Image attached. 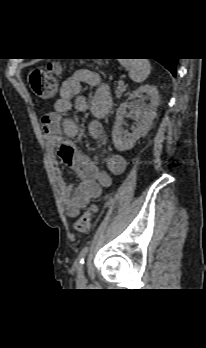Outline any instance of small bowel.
Returning <instances> with one entry per match:
<instances>
[{"label": "small bowel", "mask_w": 206, "mask_h": 348, "mask_svg": "<svg viewBox=\"0 0 206 348\" xmlns=\"http://www.w3.org/2000/svg\"><path fill=\"white\" fill-rule=\"evenodd\" d=\"M83 85L95 87L90 100L81 95ZM112 98L107 86L101 83L100 76L89 70H79L63 82L59 97L54 102L53 111L42 119L43 135L50 152L51 162L60 190L61 198L70 218L78 216L80 210L90 200L98 198L104 188L112 185V175H120L127 162L118 153H110L105 158V169H99L86 156L80 154L69 138L80 131L79 124L64 117L72 110L83 113L90 110L93 120L88 130L90 136L97 141L105 140V129L102 119L109 113ZM69 166L80 178L81 183L75 189L64 180L59 163Z\"/></svg>", "instance_id": "c3829d8e"}]
</instances>
